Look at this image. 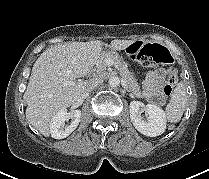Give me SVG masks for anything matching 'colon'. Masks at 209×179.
Listing matches in <instances>:
<instances>
[{
  "instance_id": "1",
  "label": "colon",
  "mask_w": 209,
  "mask_h": 179,
  "mask_svg": "<svg viewBox=\"0 0 209 179\" xmlns=\"http://www.w3.org/2000/svg\"><path fill=\"white\" fill-rule=\"evenodd\" d=\"M129 58L143 65L154 66L162 63H169L171 55L169 51L159 44H145L143 42H134L126 48ZM177 70L174 69L168 77L163 87L164 95L169 97L178 81Z\"/></svg>"
}]
</instances>
